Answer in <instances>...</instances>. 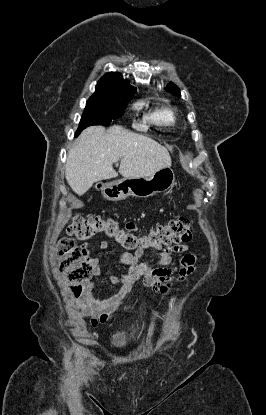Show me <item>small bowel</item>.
<instances>
[{
  "label": "small bowel",
  "mask_w": 266,
  "mask_h": 415,
  "mask_svg": "<svg viewBox=\"0 0 266 415\" xmlns=\"http://www.w3.org/2000/svg\"><path fill=\"white\" fill-rule=\"evenodd\" d=\"M127 228L135 230L136 227L134 223H128ZM100 248L108 250V242L101 241ZM83 249L86 250L85 246ZM189 249V243L160 248L157 253L158 260L154 263L141 262L144 254V249L141 248L136 249L134 254H120L117 257V263L127 266V271L120 275H103L99 269L100 259L96 256L90 258L89 261L96 276L110 284L120 285L121 288L110 298L98 301L92 295L94 281L86 280L82 284L81 291L75 294L76 308L83 317L89 319L92 326H97L105 323L118 309H127L125 302L130 296L133 284L137 281H142L153 291L167 294L175 282L183 281L196 268V258L190 253L183 256L178 266H170L174 253H185Z\"/></svg>",
  "instance_id": "c3829d8e"
}]
</instances>
